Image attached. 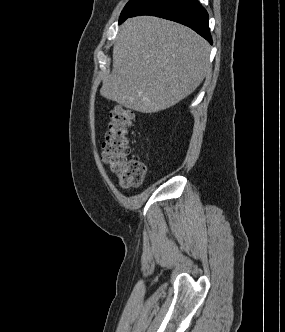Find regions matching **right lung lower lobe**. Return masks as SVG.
<instances>
[{"mask_svg":"<svg viewBox=\"0 0 285 332\" xmlns=\"http://www.w3.org/2000/svg\"><path fill=\"white\" fill-rule=\"evenodd\" d=\"M138 15H152L181 23L196 31L209 43L213 42L208 26V13L197 0H148L129 17Z\"/></svg>","mask_w":285,"mask_h":332,"instance_id":"right-lung-lower-lobe-1","label":"right lung lower lobe"}]
</instances>
